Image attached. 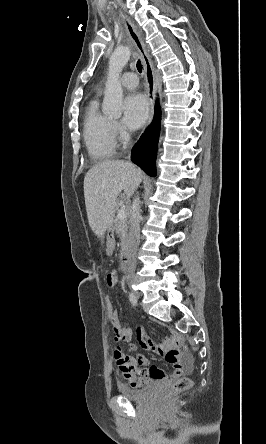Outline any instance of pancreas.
<instances>
[{
  "mask_svg": "<svg viewBox=\"0 0 266 444\" xmlns=\"http://www.w3.org/2000/svg\"><path fill=\"white\" fill-rule=\"evenodd\" d=\"M128 224H129V219L127 213L126 216L122 219H120L118 216L115 218L114 229L116 233L120 235L122 247H124L127 240Z\"/></svg>",
  "mask_w": 266,
  "mask_h": 444,
  "instance_id": "1",
  "label": "pancreas"
}]
</instances>
